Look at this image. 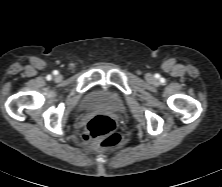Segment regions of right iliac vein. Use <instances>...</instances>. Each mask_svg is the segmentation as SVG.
<instances>
[{
	"instance_id": "obj_1",
	"label": "right iliac vein",
	"mask_w": 222,
	"mask_h": 187,
	"mask_svg": "<svg viewBox=\"0 0 222 187\" xmlns=\"http://www.w3.org/2000/svg\"><path fill=\"white\" fill-rule=\"evenodd\" d=\"M56 80H61V76H60V75H57V76H56Z\"/></svg>"
}]
</instances>
